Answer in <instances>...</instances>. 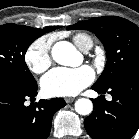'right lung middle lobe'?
Instances as JSON below:
<instances>
[{
    "mask_svg": "<svg viewBox=\"0 0 139 139\" xmlns=\"http://www.w3.org/2000/svg\"><path fill=\"white\" fill-rule=\"evenodd\" d=\"M42 35L28 26L12 23L0 26V80L27 88L36 85L24 55L30 44Z\"/></svg>",
    "mask_w": 139,
    "mask_h": 139,
    "instance_id": "dd1d6c3e",
    "label": "right lung middle lobe"
}]
</instances>
